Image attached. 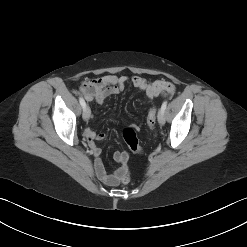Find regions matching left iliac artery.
Returning <instances> with one entry per match:
<instances>
[{
    "label": "left iliac artery",
    "mask_w": 247,
    "mask_h": 247,
    "mask_svg": "<svg viewBox=\"0 0 247 247\" xmlns=\"http://www.w3.org/2000/svg\"><path fill=\"white\" fill-rule=\"evenodd\" d=\"M166 106H167V101H164L161 106V111L165 112Z\"/></svg>",
    "instance_id": "1"
}]
</instances>
